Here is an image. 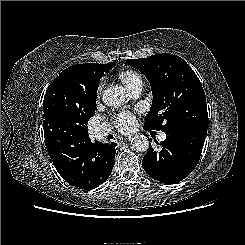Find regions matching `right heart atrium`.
Instances as JSON below:
<instances>
[{"mask_svg": "<svg viewBox=\"0 0 245 245\" xmlns=\"http://www.w3.org/2000/svg\"><path fill=\"white\" fill-rule=\"evenodd\" d=\"M103 86H104V81L102 80V81H100V83H99L98 90L101 91L102 88H103Z\"/></svg>", "mask_w": 245, "mask_h": 245, "instance_id": "d8ad5b80", "label": "right heart atrium"}]
</instances>
